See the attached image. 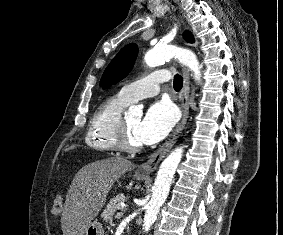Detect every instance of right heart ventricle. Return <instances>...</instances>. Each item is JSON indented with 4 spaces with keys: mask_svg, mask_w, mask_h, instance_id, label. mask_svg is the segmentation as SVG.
I'll use <instances>...</instances> for the list:
<instances>
[{
    "mask_svg": "<svg viewBox=\"0 0 283 235\" xmlns=\"http://www.w3.org/2000/svg\"><path fill=\"white\" fill-rule=\"evenodd\" d=\"M120 93L104 100L94 111L86 133L85 143L93 150L112 153L118 151L115 130L122 111L129 104Z\"/></svg>",
    "mask_w": 283,
    "mask_h": 235,
    "instance_id": "obj_1",
    "label": "right heart ventricle"
}]
</instances>
